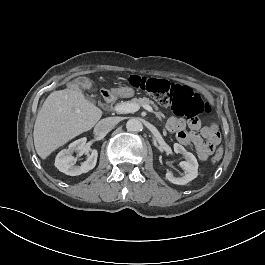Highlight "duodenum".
Wrapping results in <instances>:
<instances>
[{
  "instance_id": "1",
  "label": "duodenum",
  "mask_w": 265,
  "mask_h": 265,
  "mask_svg": "<svg viewBox=\"0 0 265 265\" xmlns=\"http://www.w3.org/2000/svg\"><path fill=\"white\" fill-rule=\"evenodd\" d=\"M99 92H100L101 96H103V97L107 96V94H108L107 91H105V89H103V88L100 89Z\"/></svg>"
}]
</instances>
